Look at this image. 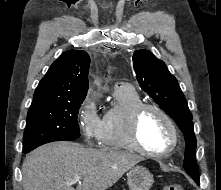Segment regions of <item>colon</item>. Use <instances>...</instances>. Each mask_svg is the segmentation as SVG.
<instances>
[{
  "mask_svg": "<svg viewBox=\"0 0 221 190\" xmlns=\"http://www.w3.org/2000/svg\"><path fill=\"white\" fill-rule=\"evenodd\" d=\"M163 190H184L179 184H167L163 187Z\"/></svg>",
  "mask_w": 221,
  "mask_h": 190,
  "instance_id": "obj_1",
  "label": "colon"
}]
</instances>
